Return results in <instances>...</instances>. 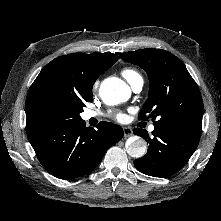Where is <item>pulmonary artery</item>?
Segmentation results:
<instances>
[{"label": "pulmonary artery", "mask_w": 221, "mask_h": 221, "mask_svg": "<svg viewBox=\"0 0 221 221\" xmlns=\"http://www.w3.org/2000/svg\"><path fill=\"white\" fill-rule=\"evenodd\" d=\"M132 86V89L135 91V92H140L142 87H143V79L140 78L138 80H136L134 83L131 84ZM96 116V113L94 111H87L85 113V118L86 119H90L92 117H95ZM155 129V127L153 125H151L149 127V130L150 131H153Z\"/></svg>", "instance_id": "pulmonary-artery-1"}]
</instances>
